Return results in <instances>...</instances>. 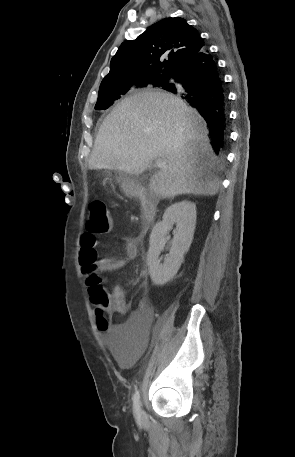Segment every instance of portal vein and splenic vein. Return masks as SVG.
Listing matches in <instances>:
<instances>
[{
    "label": "portal vein and splenic vein",
    "mask_w": 295,
    "mask_h": 457,
    "mask_svg": "<svg viewBox=\"0 0 295 457\" xmlns=\"http://www.w3.org/2000/svg\"><path fill=\"white\" fill-rule=\"evenodd\" d=\"M155 165L159 168L165 167L166 163L162 159H157Z\"/></svg>",
    "instance_id": "18ae733b"
}]
</instances>
